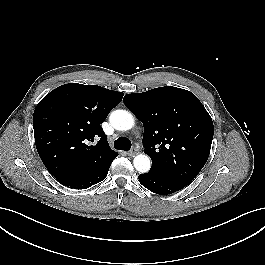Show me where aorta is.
<instances>
[{"label":"aorta","instance_id":"aorta-1","mask_svg":"<svg viewBox=\"0 0 265 265\" xmlns=\"http://www.w3.org/2000/svg\"><path fill=\"white\" fill-rule=\"evenodd\" d=\"M109 121L116 130L120 131L130 130L135 124L132 114L126 110L113 111ZM133 164L135 169L140 173L148 172L151 167L150 158L144 154L137 155L133 160Z\"/></svg>","mask_w":265,"mask_h":265}]
</instances>
